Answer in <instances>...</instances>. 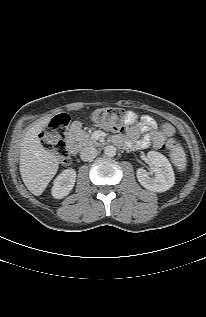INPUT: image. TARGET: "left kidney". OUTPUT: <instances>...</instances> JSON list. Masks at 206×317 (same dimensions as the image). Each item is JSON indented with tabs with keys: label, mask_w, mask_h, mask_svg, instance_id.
I'll return each instance as SVG.
<instances>
[{
	"label": "left kidney",
	"mask_w": 206,
	"mask_h": 317,
	"mask_svg": "<svg viewBox=\"0 0 206 317\" xmlns=\"http://www.w3.org/2000/svg\"><path fill=\"white\" fill-rule=\"evenodd\" d=\"M147 160L153 167L154 176L143 168L137 170V179L146 189L153 192H165L169 190L175 181L174 172L168 159L161 153L149 151Z\"/></svg>",
	"instance_id": "left-kidney-1"
}]
</instances>
